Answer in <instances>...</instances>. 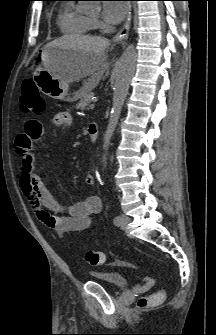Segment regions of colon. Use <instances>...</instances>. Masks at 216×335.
<instances>
[{
  "label": "colon",
  "mask_w": 216,
  "mask_h": 335,
  "mask_svg": "<svg viewBox=\"0 0 216 335\" xmlns=\"http://www.w3.org/2000/svg\"><path fill=\"white\" fill-rule=\"evenodd\" d=\"M21 109L25 113H32L34 115L43 114L46 110V103L40 94L36 84L32 80H25L22 84V98ZM86 262L91 266L102 265L105 261L104 253L88 249L84 253ZM163 298V293L160 292L155 295L145 296L139 299L138 307L146 308L156 304Z\"/></svg>",
  "instance_id": "1"
}]
</instances>
